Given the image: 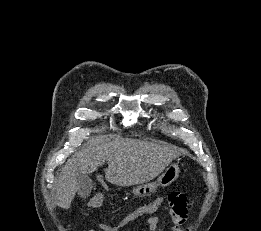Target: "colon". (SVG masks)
<instances>
[{"instance_id": "1", "label": "colon", "mask_w": 261, "mask_h": 231, "mask_svg": "<svg viewBox=\"0 0 261 231\" xmlns=\"http://www.w3.org/2000/svg\"><path fill=\"white\" fill-rule=\"evenodd\" d=\"M160 207L159 204L149 203L146 205L145 213L152 212ZM167 209L173 214L186 221L192 210V204L188 197L181 192H172L168 195Z\"/></svg>"}]
</instances>
